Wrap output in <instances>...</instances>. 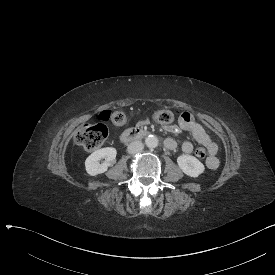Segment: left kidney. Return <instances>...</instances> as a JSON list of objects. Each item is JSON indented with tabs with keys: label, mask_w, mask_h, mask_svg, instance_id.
I'll return each mask as SVG.
<instances>
[{
	"label": "left kidney",
	"mask_w": 275,
	"mask_h": 275,
	"mask_svg": "<svg viewBox=\"0 0 275 275\" xmlns=\"http://www.w3.org/2000/svg\"><path fill=\"white\" fill-rule=\"evenodd\" d=\"M177 164L185 175L192 178H198L205 172V165L194 156L180 155Z\"/></svg>",
	"instance_id": "1"
}]
</instances>
